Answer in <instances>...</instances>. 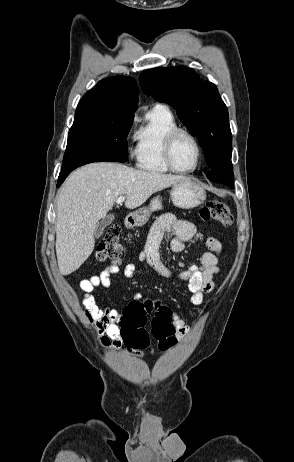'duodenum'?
<instances>
[{"label":"duodenum","mask_w":294,"mask_h":462,"mask_svg":"<svg viewBox=\"0 0 294 462\" xmlns=\"http://www.w3.org/2000/svg\"><path fill=\"white\" fill-rule=\"evenodd\" d=\"M133 221H134V218H133L132 216H127V217L125 218V224H126V226H127V227L132 226Z\"/></svg>","instance_id":"1"}]
</instances>
